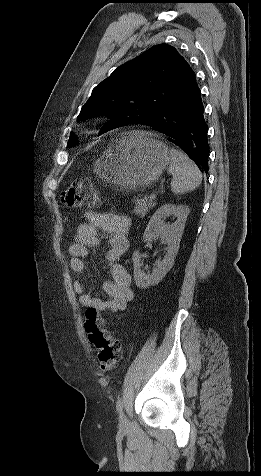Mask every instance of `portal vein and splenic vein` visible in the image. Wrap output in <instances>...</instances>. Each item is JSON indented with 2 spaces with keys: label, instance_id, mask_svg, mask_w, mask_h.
<instances>
[{
  "label": "portal vein and splenic vein",
  "instance_id": "18ae733b",
  "mask_svg": "<svg viewBox=\"0 0 261 476\" xmlns=\"http://www.w3.org/2000/svg\"><path fill=\"white\" fill-rule=\"evenodd\" d=\"M156 198V194L155 193H152L150 196H149V199L151 200H154Z\"/></svg>",
  "mask_w": 261,
  "mask_h": 476
}]
</instances>
